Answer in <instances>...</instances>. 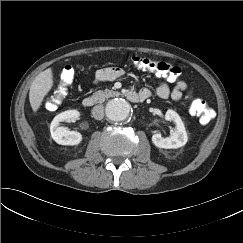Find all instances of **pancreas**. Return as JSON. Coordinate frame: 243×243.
I'll use <instances>...</instances> for the list:
<instances>
[{
    "mask_svg": "<svg viewBox=\"0 0 243 243\" xmlns=\"http://www.w3.org/2000/svg\"><path fill=\"white\" fill-rule=\"evenodd\" d=\"M118 95H120V93L118 91L105 89V90H99V91L93 93L91 98L97 103H102L107 98H110L113 96H118Z\"/></svg>",
    "mask_w": 243,
    "mask_h": 243,
    "instance_id": "cf45deb5",
    "label": "pancreas"
}]
</instances>
